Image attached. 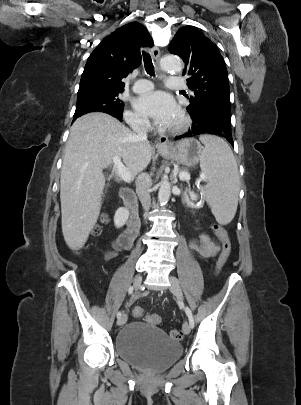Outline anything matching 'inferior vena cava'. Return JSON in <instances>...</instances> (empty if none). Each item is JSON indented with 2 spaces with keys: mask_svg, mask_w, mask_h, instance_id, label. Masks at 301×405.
Here are the masks:
<instances>
[{
  "mask_svg": "<svg viewBox=\"0 0 301 405\" xmlns=\"http://www.w3.org/2000/svg\"><path fill=\"white\" fill-rule=\"evenodd\" d=\"M147 127L148 121L144 119H137L132 123L134 132H136L138 138L143 141H147ZM150 187V176L145 172H141L136 179V193L145 210V217H147V213L151 206Z\"/></svg>",
  "mask_w": 301,
  "mask_h": 405,
  "instance_id": "inferior-vena-cava-1",
  "label": "inferior vena cava"
}]
</instances>
